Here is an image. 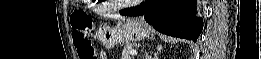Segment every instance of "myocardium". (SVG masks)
<instances>
[{
    "label": "myocardium",
    "mask_w": 261,
    "mask_h": 59,
    "mask_svg": "<svg viewBox=\"0 0 261 59\" xmlns=\"http://www.w3.org/2000/svg\"><path fill=\"white\" fill-rule=\"evenodd\" d=\"M108 5L111 9H114V10H120V9L130 6L129 3H116L114 1H108Z\"/></svg>",
    "instance_id": "myocardium-1"
}]
</instances>
